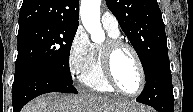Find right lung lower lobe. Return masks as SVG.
<instances>
[{"mask_svg":"<svg viewBox=\"0 0 193 112\" xmlns=\"http://www.w3.org/2000/svg\"><path fill=\"white\" fill-rule=\"evenodd\" d=\"M49 92L78 93L71 81L48 70L33 69L15 77L12 87L13 112H20L27 102Z\"/></svg>","mask_w":193,"mask_h":112,"instance_id":"right-lung-lower-lobe-1","label":"right lung lower lobe"}]
</instances>
